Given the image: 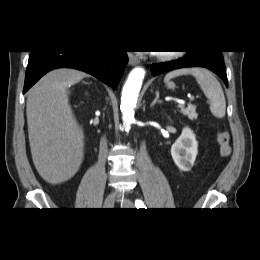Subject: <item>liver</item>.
Returning a JSON list of instances; mask_svg holds the SVG:
<instances>
[{"mask_svg":"<svg viewBox=\"0 0 260 260\" xmlns=\"http://www.w3.org/2000/svg\"><path fill=\"white\" fill-rule=\"evenodd\" d=\"M86 76L75 69H55L29 92L26 115L32 159L48 183L69 180L83 161V135L77 128L67 89Z\"/></svg>","mask_w":260,"mask_h":260,"instance_id":"obj_1","label":"liver"}]
</instances>
